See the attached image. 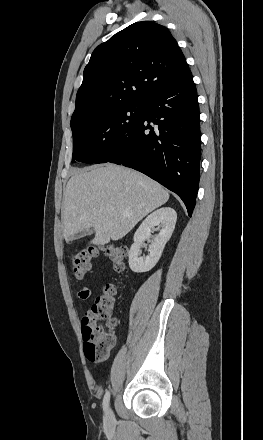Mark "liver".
<instances>
[{"label":"liver","instance_id":"1","mask_svg":"<svg viewBox=\"0 0 263 440\" xmlns=\"http://www.w3.org/2000/svg\"><path fill=\"white\" fill-rule=\"evenodd\" d=\"M168 199L169 193L159 183L132 169L113 164L78 169L64 192V237L67 241L93 228L95 245L119 240Z\"/></svg>","mask_w":263,"mask_h":440}]
</instances>
